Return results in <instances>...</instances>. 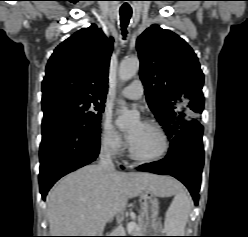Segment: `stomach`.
Segmentation results:
<instances>
[{
	"instance_id": "0dacf381",
	"label": "stomach",
	"mask_w": 248,
	"mask_h": 237,
	"mask_svg": "<svg viewBox=\"0 0 248 237\" xmlns=\"http://www.w3.org/2000/svg\"><path fill=\"white\" fill-rule=\"evenodd\" d=\"M172 180L171 178H169ZM174 181V180H172ZM175 182V181H174ZM177 183V182H176ZM174 186H167L160 194H155L149 190H145L140 195L141 217L148 222L146 227V234L154 230L156 219L159 214L158 197H165L173 194Z\"/></svg>"
}]
</instances>
